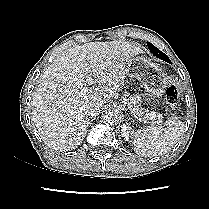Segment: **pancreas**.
I'll list each match as a JSON object with an SVG mask.
<instances>
[{
    "mask_svg": "<svg viewBox=\"0 0 209 209\" xmlns=\"http://www.w3.org/2000/svg\"><path fill=\"white\" fill-rule=\"evenodd\" d=\"M139 101H140L139 96L131 97L127 101L129 109L131 111H134L136 117H138L139 120L142 121L151 120L152 123H160L162 121L163 116L161 114H156L154 112H149V111H143V109L140 108Z\"/></svg>",
    "mask_w": 209,
    "mask_h": 209,
    "instance_id": "pancreas-1",
    "label": "pancreas"
}]
</instances>
